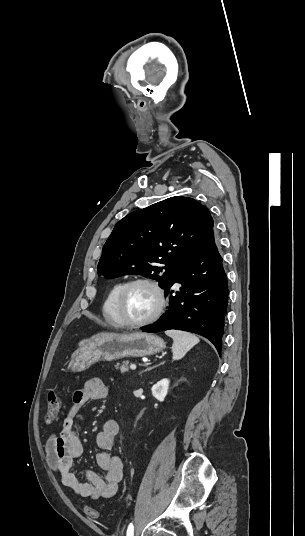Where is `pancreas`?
Segmentation results:
<instances>
[{
    "mask_svg": "<svg viewBox=\"0 0 305 536\" xmlns=\"http://www.w3.org/2000/svg\"><path fill=\"white\" fill-rule=\"evenodd\" d=\"M115 370H120V374H124V372H129L128 362H122V364H116Z\"/></svg>",
    "mask_w": 305,
    "mask_h": 536,
    "instance_id": "pancreas-1",
    "label": "pancreas"
}]
</instances>
